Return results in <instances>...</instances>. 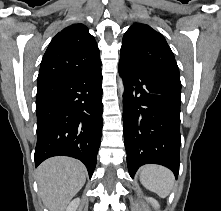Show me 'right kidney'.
Returning <instances> with one entry per match:
<instances>
[{
    "label": "right kidney",
    "instance_id": "ca27d5eb",
    "mask_svg": "<svg viewBox=\"0 0 221 211\" xmlns=\"http://www.w3.org/2000/svg\"><path fill=\"white\" fill-rule=\"evenodd\" d=\"M79 204H80V199L79 198L74 199L73 201L70 202V204L66 208V211H76Z\"/></svg>",
    "mask_w": 221,
    "mask_h": 211
}]
</instances>
